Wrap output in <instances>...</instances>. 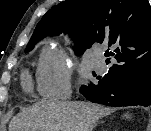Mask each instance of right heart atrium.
Here are the masks:
<instances>
[{
  "label": "right heart atrium",
  "instance_id": "obj_1",
  "mask_svg": "<svg viewBox=\"0 0 151 131\" xmlns=\"http://www.w3.org/2000/svg\"><path fill=\"white\" fill-rule=\"evenodd\" d=\"M39 93L50 99L67 97L71 92V62L59 49L45 51L36 70Z\"/></svg>",
  "mask_w": 151,
  "mask_h": 131
}]
</instances>
